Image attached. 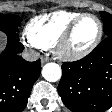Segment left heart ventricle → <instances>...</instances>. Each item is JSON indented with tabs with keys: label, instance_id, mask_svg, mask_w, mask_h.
Masks as SVG:
<instances>
[{
	"label": "left heart ventricle",
	"instance_id": "obj_1",
	"mask_svg": "<svg viewBox=\"0 0 112 112\" xmlns=\"http://www.w3.org/2000/svg\"><path fill=\"white\" fill-rule=\"evenodd\" d=\"M98 33L97 21L92 17L83 18L75 27L69 41L66 44V50L78 52L87 48L95 39Z\"/></svg>",
	"mask_w": 112,
	"mask_h": 112
}]
</instances>
